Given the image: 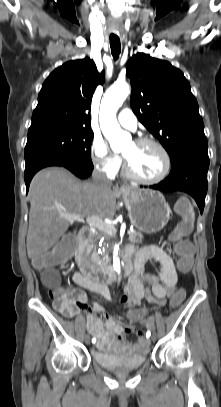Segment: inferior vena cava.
Returning a JSON list of instances; mask_svg holds the SVG:
<instances>
[{
	"label": "inferior vena cava",
	"mask_w": 221,
	"mask_h": 407,
	"mask_svg": "<svg viewBox=\"0 0 221 407\" xmlns=\"http://www.w3.org/2000/svg\"><path fill=\"white\" fill-rule=\"evenodd\" d=\"M92 180L94 184L102 187L111 186V181L107 179L106 175L98 169L93 171Z\"/></svg>",
	"instance_id": "obj_1"
}]
</instances>
